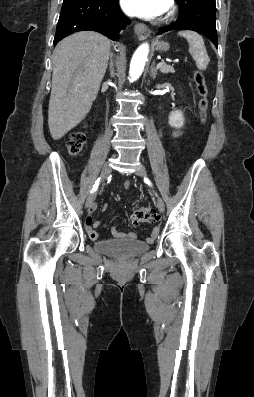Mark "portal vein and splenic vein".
<instances>
[{
	"label": "portal vein and splenic vein",
	"instance_id": "1",
	"mask_svg": "<svg viewBox=\"0 0 254 397\" xmlns=\"http://www.w3.org/2000/svg\"><path fill=\"white\" fill-rule=\"evenodd\" d=\"M165 64L164 61H161L160 63L157 64V69L160 68L161 66H163Z\"/></svg>",
	"mask_w": 254,
	"mask_h": 397
}]
</instances>
